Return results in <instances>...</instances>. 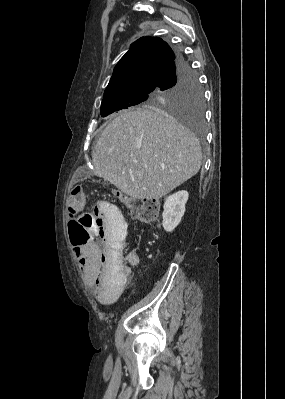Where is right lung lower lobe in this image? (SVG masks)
Masks as SVG:
<instances>
[{"instance_id":"98d812e1","label":"right lung lower lobe","mask_w":285,"mask_h":399,"mask_svg":"<svg viewBox=\"0 0 285 399\" xmlns=\"http://www.w3.org/2000/svg\"><path fill=\"white\" fill-rule=\"evenodd\" d=\"M175 56V60L166 69L161 80L159 81L158 88L164 86L165 84L176 82L187 70L191 69L180 52L176 53Z\"/></svg>"}]
</instances>
